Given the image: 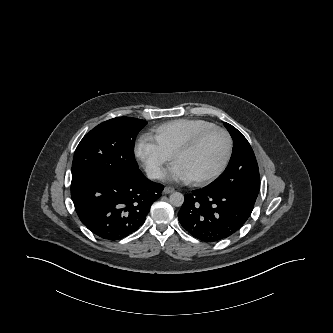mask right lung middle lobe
<instances>
[{
	"label": "right lung middle lobe",
	"mask_w": 333,
	"mask_h": 333,
	"mask_svg": "<svg viewBox=\"0 0 333 333\" xmlns=\"http://www.w3.org/2000/svg\"><path fill=\"white\" fill-rule=\"evenodd\" d=\"M145 120L117 117L105 121L77 146L72 163V182L94 175L126 178L139 169L134 158V143Z\"/></svg>",
	"instance_id": "1"
}]
</instances>
